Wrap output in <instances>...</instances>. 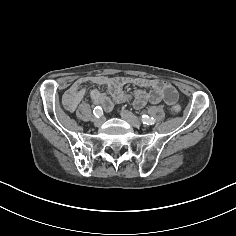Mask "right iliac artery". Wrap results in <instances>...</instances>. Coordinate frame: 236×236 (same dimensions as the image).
Returning <instances> with one entry per match:
<instances>
[{"label": "right iliac artery", "mask_w": 236, "mask_h": 236, "mask_svg": "<svg viewBox=\"0 0 236 236\" xmlns=\"http://www.w3.org/2000/svg\"><path fill=\"white\" fill-rule=\"evenodd\" d=\"M93 113L97 118H99L100 116L103 115V110L101 107L97 106L94 108Z\"/></svg>", "instance_id": "right-iliac-artery-1"}]
</instances>
